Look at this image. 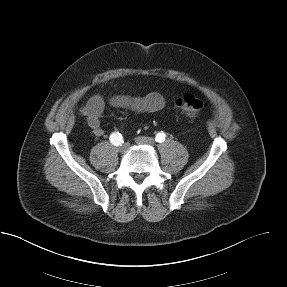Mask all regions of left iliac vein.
I'll list each match as a JSON object with an SVG mask.
<instances>
[{
  "mask_svg": "<svg viewBox=\"0 0 287 287\" xmlns=\"http://www.w3.org/2000/svg\"><path fill=\"white\" fill-rule=\"evenodd\" d=\"M135 142L140 145H149L153 146L155 144V141L151 137H145V136H138L135 138Z\"/></svg>",
  "mask_w": 287,
  "mask_h": 287,
  "instance_id": "1",
  "label": "left iliac vein"
}]
</instances>
